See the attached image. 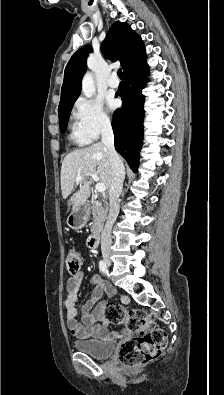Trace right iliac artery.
I'll return each instance as SVG.
<instances>
[{"label":"right iliac artery","instance_id":"right-iliac-artery-1","mask_svg":"<svg viewBox=\"0 0 224 395\" xmlns=\"http://www.w3.org/2000/svg\"><path fill=\"white\" fill-rule=\"evenodd\" d=\"M99 269H100V271H101L102 273H104V274H107V273H108L106 263H105L103 260H101V261L99 262Z\"/></svg>","mask_w":224,"mask_h":395}]
</instances>
